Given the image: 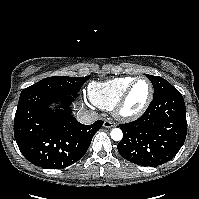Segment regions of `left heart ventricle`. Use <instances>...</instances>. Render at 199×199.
<instances>
[{"label":"left heart ventricle","instance_id":"left-heart-ventricle-1","mask_svg":"<svg viewBox=\"0 0 199 199\" xmlns=\"http://www.w3.org/2000/svg\"><path fill=\"white\" fill-rule=\"evenodd\" d=\"M150 87L147 81L139 80L133 87L127 103L126 110L135 111L145 102L149 95Z\"/></svg>","mask_w":199,"mask_h":199}]
</instances>
